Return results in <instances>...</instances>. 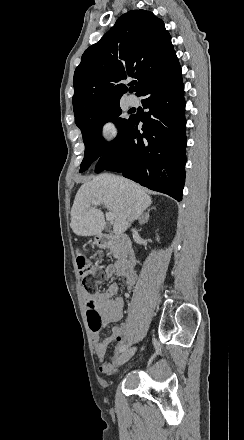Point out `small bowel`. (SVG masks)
I'll return each instance as SVG.
<instances>
[{
  "label": "small bowel",
  "instance_id": "1",
  "mask_svg": "<svg viewBox=\"0 0 244 440\" xmlns=\"http://www.w3.org/2000/svg\"><path fill=\"white\" fill-rule=\"evenodd\" d=\"M115 275L128 288H132L136 283L134 269L126 268L120 261L107 266L104 270L105 278H111ZM118 290L119 286L117 283L109 285L105 291L92 294L88 293L84 288L81 289V296L86 302V307L95 308L100 313L103 325L114 324L111 334L104 339H100L98 331L92 329L93 346L95 354L100 361L99 369L101 373L106 375L115 372L122 364L119 347L125 345V338L129 333L127 325L121 322L124 315V299L121 296H116ZM112 342H116L115 349L110 361H105L107 348Z\"/></svg>",
  "mask_w": 244,
  "mask_h": 440
}]
</instances>
